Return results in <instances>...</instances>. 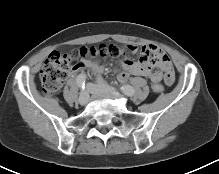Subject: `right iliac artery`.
<instances>
[{
    "label": "right iliac artery",
    "instance_id": "obj_1",
    "mask_svg": "<svg viewBox=\"0 0 219 174\" xmlns=\"http://www.w3.org/2000/svg\"><path fill=\"white\" fill-rule=\"evenodd\" d=\"M85 82H86V75L80 74L76 78L77 86L84 89L85 88Z\"/></svg>",
    "mask_w": 219,
    "mask_h": 174
}]
</instances>
